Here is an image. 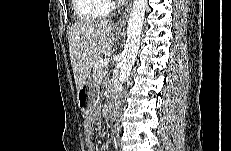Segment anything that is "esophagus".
I'll return each mask as SVG.
<instances>
[{"mask_svg":"<svg viewBox=\"0 0 231 151\" xmlns=\"http://www.w3.org/2000/svg\"><path fill=\"white\" fill-rule=\"evenodd\" d=\"M131 4H132V2L129 3V5L127 6L126 10L124 11V13L122 14L121 18L119 19V21L117 23V27L118 28H122V27L125 26L126 21L128 19L129 12H130Z\"/></svg>","mask_w":231,"mask_h":151,"instance_id":"obj_1","label":"esophagus"}]
</instances>
